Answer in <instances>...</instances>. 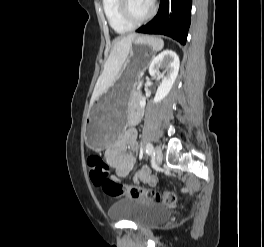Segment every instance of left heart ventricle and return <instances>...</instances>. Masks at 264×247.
Wrapping results in <instances>:
<instances>
[{
    "label": "left heart ventricle",
    "mask_w": 264,
    "mask_h": 247,
    "mask_svg": "<svg viewBox=\"0 0 264 247\" xmlns=\"http://www.w3.org/2000/svg\"><path fill=\"white\" fill-rule=\"evenodd\" d=\"M129 7L135 18H141L147 14L150 9V0H129Z\"/></svg>",
    "instance_id": "b2bd125f"
}]
</instances>
